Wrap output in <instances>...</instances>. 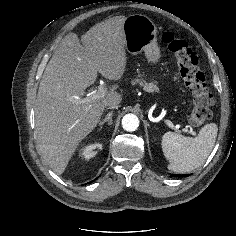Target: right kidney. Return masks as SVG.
I'll return each instance as SVG.
<instances>
[{
  "label": "right kidney",
  "mask_w": 236,
  "mask_h": 236,
  "mask_svg": "<svg viewBox=\"0 0 236 236\" xmlns=\"http://www.w3.org/2000/svg\"><path fill=\"white\" fill-rule=\"evenodd\" d=\"M97 149L98 150L102 149V144L95 143V144L88 145L82 149L81 157L84 159H90L96 155Z\"/></svg>",
  "instance_id": "obj_1"
}]
</instances>
